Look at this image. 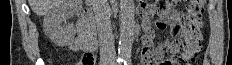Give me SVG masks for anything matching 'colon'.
<instances>
[{"mask_svg":"<svg viewBox=\"0 0 232 65\" xmlns=\"http://www.w3.org/2000/svg\"><path fill=\"white\" fill-rule=\"evenodd\" d=\"M176 0H158L156 6L159 12H168ZM205 12L204 0H191L187 5L186 22L187 28L184 40H177L169 45L172 56L163 61L177 65H188L196 61L202 46V23ZM93 58L85 54L83 64H92Z\"/></svg>","mask_w":232,"mask_h":65,"instance_id":"1","label":"colon"}]
</instances>
